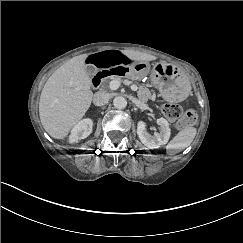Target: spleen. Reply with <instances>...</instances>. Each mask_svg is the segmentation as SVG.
I'll return each mask as SVG.
<instances>
[{
    "mask_svg": "<svg viewBox=\"0 0 243 243\" xmlns=\"http://www.w3.org/2000/svg\"><path fill=\"white\" fill-rule=\"evenodd\" d=\"M197 134L196 127L188 126L179 131L173 139L167 144V153H176L179 150L189 147Z\"/></svg>",
    "mask_w": 243,
    "mask_h": 243,
    "instance_id": "3e777b00",
    "label": "spleen"
}]
</instances>
